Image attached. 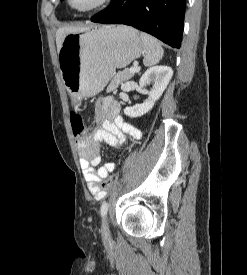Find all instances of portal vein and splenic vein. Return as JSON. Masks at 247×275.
I'll list each match as a JSON object with an SVG mask.
<instances>
[{
    "label": "portal vein and splenic vein",
    "mask_w": 247,
    "mask_h": 275,
    "mask_svg": "<svg viewBox=\"0 0 247 275\" xmlns=\"http://www.w3.org/2000/svg\"><path fill=\"white\" fill-rule=\"evenodd\" d=\"M129 71L132 72V73H137V72L140 71V68L139 67H132V68L129 69Z\"/></svg>",
    "instance_id": "18ae733b"
}]
</instances>
